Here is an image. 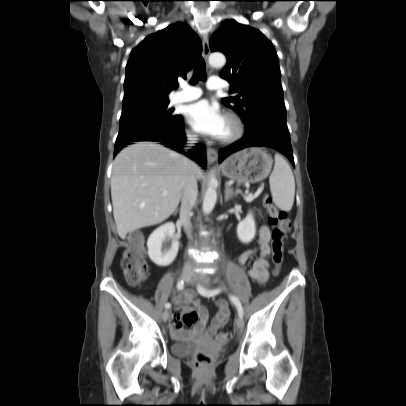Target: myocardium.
Wrapping results in <instances>:
<instances>
[{
  "label": "myocardium",
  "mask_w": 406,
  "mask_h": 406,
  "mask_svg": "<svg viewBox=\"0 0 406 406\" xmlns=\"http://www.w3.org/2000/svg\"><path fill=\"white\" fill-rule=\"evenodd\" d=\"M225 119L231 124L232 132L226 136L219 138V141L224 144H230L240 139L244 133V124L240 117L233 112H227Z\"/></svg>",
  "instance_id": "myocardium-1"
}]
</instances>
